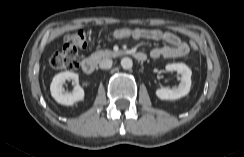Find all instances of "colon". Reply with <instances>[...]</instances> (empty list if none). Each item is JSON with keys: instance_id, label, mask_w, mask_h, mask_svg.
<instances>
[{"instance_id": "colon-1", "label": "colon", "mask_w": 244, "mask_h": 157, "mask_svg": "<svg viewBox=\"0 0 244 157\" xmlns=\"http://www.w3.org/2000/svg\"><path fill=\"white\" fill-rule=\"evenodd\" d=\"M135 34V29L119 28L113 31V37L116 39L132 38ZM88 33L83 30H77L66 36L65 45L59 51L54 52L49 59L50 66L57 70H74L79 66L80 49L87 46ZM191 48L196 50L197 44L191 42Z\"/></svg>"}]
</instances>
